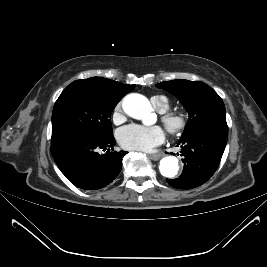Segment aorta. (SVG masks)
Segmentation results:
<instances>
[{
	"instance_id": "1",
	"label": "aorta",
	"mask_w": 267,
	"mask_h": 267,
	"mask_svg": "<svg viewBox=\"0 0 267 267\" xmlns=\"http://www.w3.org/2000/svg\"><path fill=\"white\" fill-rule=\"evenodd\" d=\"M123 111L130 117L146 122L152 112L149 100L138 93H131L124 97L122 101ZM179 170L178 160L173 156H166L161 159L159 171L162 176L173 178Z\"/></svg>"
}]
</instances>
